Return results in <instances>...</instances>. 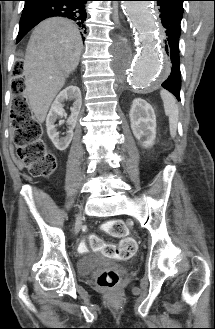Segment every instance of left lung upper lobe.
Returning <instances> with one entry per match:
<instances>
[{
  "label": "left lung upper lobe",
  "mask_w": 215,
  "mask_h": 329,
  "mask_svg": "<svg viewBox=\"0 0 215 329\" xmlns=\"http://www.w3.org/2000/svg\"><path fill=\"white\" fill-rule=\"evenodd\" d=\"M164 1L172 5L179 12L183 13V2L185 0H164Z\"/></svg>",
  "instance_id": "obj_1"
}]
</instances>
